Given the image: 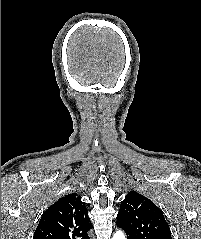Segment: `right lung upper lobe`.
I'll use <instances>...</instances> for the list:
<instances>
[{
  "instance_id": "1",
  "label": "right lung upper lobe",
  "mask_w": 201,
  "mask_h": 239,
  "mask_svg": "<svg viewBox=\"0 0 201 239\" xmlns=\"http://www.w3.org/2000/svg\"><path fill=\"white\" fill-rule=\"evenodd\" d=\"M92 228L84 202L72 193L43 213L33 239H89L87 233Z\"/></svg>"
}]
</instances>
